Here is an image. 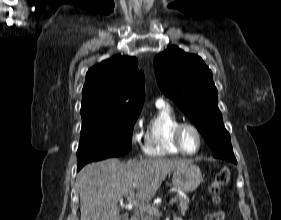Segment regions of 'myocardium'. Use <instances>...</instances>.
<instances>
[{
    "label": "myocardium",
    "instance_id": "f54148a6",
    "mask_svg": "<svg viewBox=\"0 0 281 220\" xmlns=\"http://www.w3.org/2000/svg\"><path fill=\"white\" fill-rule=\"evenodd\" d=\"M185 129H191L197 136L198 139V146L197 149L193 152H189L187 151L184 146H183V142H182V134L183 131ZM172 138H173V142L175 144V146L178 148V150L184 154V155H188V156H192L197 154L201 147H202V142H203V137H202V133L199 130V128L194 125L193 123H189V122H180L173 130V134H172Z\"/></svg>",
    "mask_w": 281,
    "mask_h": 220
}]
</instances>
